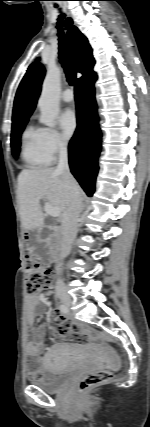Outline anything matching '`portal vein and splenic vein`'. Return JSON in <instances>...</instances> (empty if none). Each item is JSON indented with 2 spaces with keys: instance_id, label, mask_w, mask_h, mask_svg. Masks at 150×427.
Returning <instances> with one entry per match:
<instances>
[{
  "instance_id": "18ae733b",
  "label": "portal vein and splenic vein",
  "mask_w": 150,
  "mask_h": 427,
  "mask_svg": "<svg viewBox=\"0 0 150 427\" xmlns=\"http://www.w3.org/2000/svg\"><path fill=\"white\" fill-rule=\"evenodd\" d=\"M44 210L48 215L52 217H58L61 213L59 208L54 207L49 203H45Z\"/></svg>"
}]
</instances>
